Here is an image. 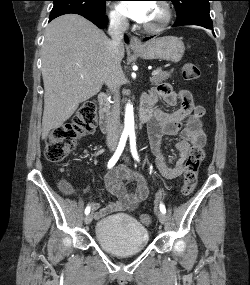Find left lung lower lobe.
Instances as JSON below:
<instances>
[{
    "label": "left lung lower lobe",
    "instance_id": "1",
    "mask_svg": "<svg viewBox=\"0 0 250 285\" xmlns=\"http://www.w3.org/2000/svg\"><path fill=\"white\" fill-rule=\"evenodd\" d=\"M188 25H197V26H202L204 28L213 30V26L210 23H204V22H196V23H190ZM174 26H178L177 24H174ZM151 37L145 38L144 41L150 39Z\"/></svg>",
    "mask_w": 250,
    "mask_h": 285
}]
</instances>
